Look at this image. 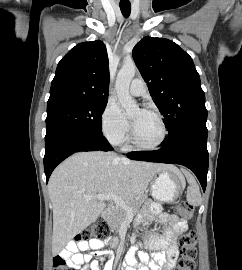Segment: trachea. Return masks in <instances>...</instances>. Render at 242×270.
<instances>
[{"instance_id": "obj_1", "label": "trachea", "mask_w": 242, "mask_h": 270, "mask_svg": "<svg viewBox=\"0 0 242 270\" xmlns=\"http://www.w3.org/2000/svg\"><path fill=\"white\" fill-rule=\"evenodd\" d=\"M121 12L123 14L124 17H128L130 15L131 12V6H120Z\"/></svg>"}]
</instances>
